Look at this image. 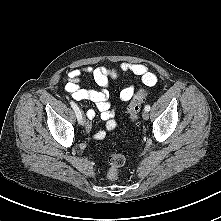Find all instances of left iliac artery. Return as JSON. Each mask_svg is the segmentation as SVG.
Listing matches in <instances>:
<instances>
[{"label":"left iliac artery","mask_w":221,"mask_h":221,"mask_svg":"<svg viewBox=\"0 0 221 221\" xmlns=\"http://www.w3.org/2000/svg\"><path fill=\"white\" fill-rule=\"evenodd\" d=\"M150 108H151L150 105H146V106H145V110H146V111H150Z\"/></svg>","instance_id":"left-iliac-artery-1"}]
</instances>
